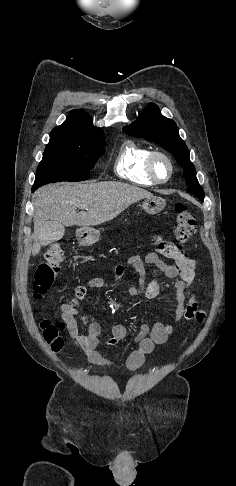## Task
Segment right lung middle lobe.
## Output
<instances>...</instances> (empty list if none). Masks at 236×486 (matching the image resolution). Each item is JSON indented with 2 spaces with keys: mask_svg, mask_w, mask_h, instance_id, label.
<instances>
[{
  "mask_svg": "<svg viewBox=\"0 0 236 486\" xmlns=\"http://www.w3.org/2000/svg\"><path fill=\"white\" fill-rule=\"evenodd\" d=\"M105 145L104 140L87 142L51 136L38 165L32 191L51 182L87 180Z\"/></svg>",
  "mask_w": 236,
  "mask_h": 486,
  "instance_id": "1",
  "label": "right lung middle lobe"
}]
</instances>
